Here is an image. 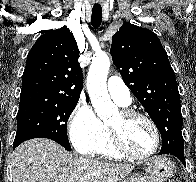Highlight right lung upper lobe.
Wrapping results in <instances>:
<instances>
[{
    "label": "right lung upper lobe",
    "instance_id": "right-lung-upper-lobe-1",
    "mask_svg": "<svg viewBox=\"0 0 196 182\" xmlns=\"http://www.w3.org/2000/svg\"><path fill=\"white\" fill-rule=\"evenodd\" d=\"M78 56L76 40L67 27L40 36L27 56L20 106L78 101L83 88Z\"/></svg>",
    "mask_w": 196,
    "mask_h": 182
}]
</instances>
